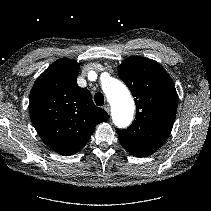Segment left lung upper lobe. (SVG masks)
Returning a JSON list of instances; mask_svg holds the SVG:
<instances>
[{
    "mask_svg": "<svg viewBox=\"0 0 211 211\" xmlns=\"http://www.w3.org/2000/svg\"><path fill=\"white\" fill-rule=\"evenodd\" d=\"M118 74L136 104V120L125 130L116 129L118 137L163 145L171 133L178 106L172 79L159 64L142 57L124 61Z\"/></svg>",
    "mask_w": 211,
    "mask_h": 211,
    "instance_id": "5c2ea615",
    "label": "left lung upper lobe"
}]
</instances>
